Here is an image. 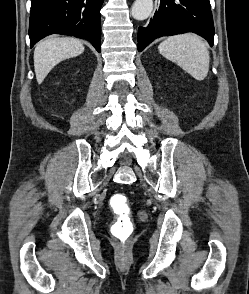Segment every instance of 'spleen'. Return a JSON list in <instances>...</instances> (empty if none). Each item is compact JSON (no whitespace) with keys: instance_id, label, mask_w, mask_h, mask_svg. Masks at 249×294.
<instances>
[{"instance_id":"1","label":"spleen","mask_w":249,"mask_h":294,"mask_svg":"<svg viewBox=\"0 0 249 294\" xmlns=\"http://www.w3.org/2000/svg\"><path fill=\"white\" fill-rule=\"evenodd\" d=\"M158 50L196 80L201 81L207 76L210 56L200 36L192 33L172 36L160 43Z\"/></svg>"}]
</instances>
